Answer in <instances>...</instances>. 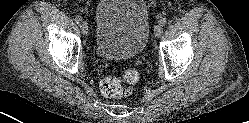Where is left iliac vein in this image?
<instances>
[{
  "label": "left iliac vein",
  "instance_id": "1",
  "mask_svg": "<svg viewBox=\"0 0 249 123\" xmlns=\"http://www.w3.org/2000/svg\"><path fill=\"white\" fill-rule=\"evenodd\" d=\"M163 33V26L161 24H158L154 28V35L155 37H160Z\"/></svg>",
  "mask_w": 249,
  "mask_h": 123
}]
</instances>
